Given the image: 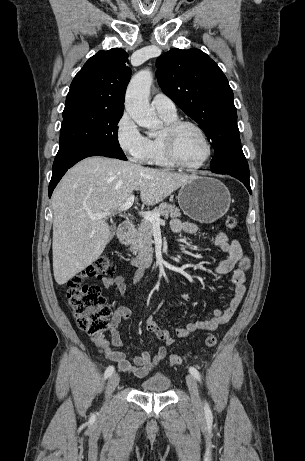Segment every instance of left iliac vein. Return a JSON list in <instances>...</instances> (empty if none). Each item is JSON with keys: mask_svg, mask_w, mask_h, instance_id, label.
I'll list each match as a JSON object with an SVG mask.
<instances>
[{"mask_svg": "<svg viewBox=\"0 0 305 461\" xmlns=\"http://www.w3.org/2000/svg\"><path fill=\"white\" fill-rule=\"evenodd\" d=\"M186 382H187V386L190 391L192 404L196 409L200 410L202 408V402L200 399L197 382L194 376L191 374H188L186 376Z\"/></svg>", "mask_w": 305, "mask_h": 461, "instance_id": "obj_1", "label": "left iliac vein"}]
</instances>
